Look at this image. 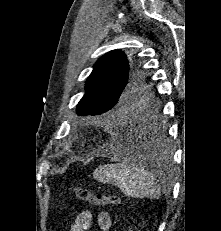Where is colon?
<instances>
[{"mask_svg":"<svg viewBox=\"0 0 221 231\" xmlns=\"http://www.w3.org/2000/svg\"><path fill=\"white\" fill-rule=\"evenodd\" d=\"M67 191L72 192L78 199L94 206L120 205L121 200L114 195L94 194L84 187H69Z\"/></svg>","mask_w":221,"mask_h":231,"instance_id":"colon-1","label":"colon"}]
</instances>
